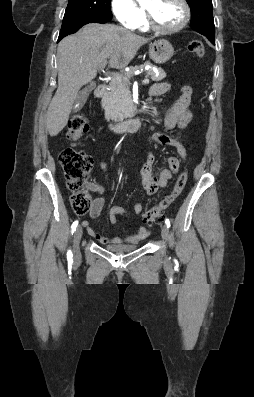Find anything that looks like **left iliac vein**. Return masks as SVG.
I'll return each mask as SVG.
<instances>
[{"label": "left iliac vein", "mask_w": 254, "mask_h": 397, "mask_svg": "<svg viewBox=\"0 0 254 397\" xmlns=\"http://www.w3.org/2000/svg\"><path fill=\"white\" fill-rule=\"evenodd\" d=\"M161 235L164 240H167L169 237V228L166 225H163L161 228Z\"/></svg>", "instance_id": "left-iliac-vein-1"}]
</instances>
